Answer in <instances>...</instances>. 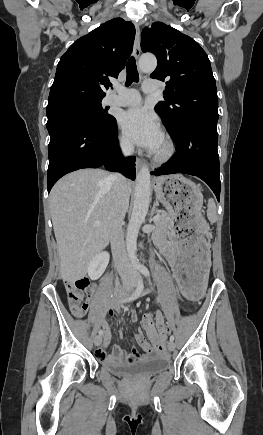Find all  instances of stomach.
<instances>
[{
    "mask_svg": "<svg viewBox=\"0 0 263 435\" xmlns=\"http://www.w3.org/2000/svg\"><path fill=\"white\" fill-rule=\"evenodd\" d=\"M156 198L169 210L173 247L181 260L176 261L171 277L176 283L179 299H187L194 305L196 299H204L205 288H210L207 262L210 261L211 238L208 216H203L201 189L182 175L159 177L155 180Z\"/></svg>",
    "mask_w": 263,
    "mask_h": 435,
    "instance_id": "1",
    "label": "stomach"
}]
</instances>
